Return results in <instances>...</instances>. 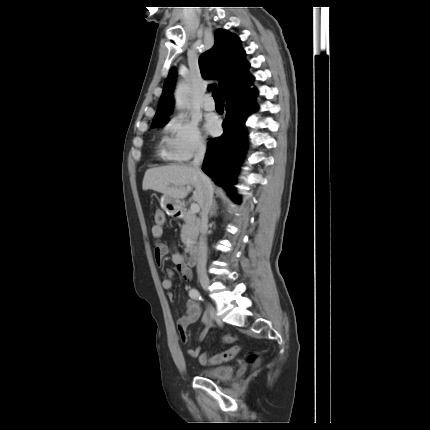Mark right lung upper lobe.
<instances>
[{"mask_svg": "<svg viewBox=\"0 0 430 430\" xmlns=\"http://www.w3.org/2000/svg\"><path fill=\"white\" fill-rule=\"evenodd\" d=\"M244 56L245 52L241 48L237 36L224 30H217L213 48L202 54L199 59L203 78L219 80V86L223 88L225 96L230 88H234L250 76L248 73L249 63L245 61ZM175 75L176 70L173 68L164 83L153 124L167 121L172 112L174 105L172 90L175 85ZM211 86H216V84Z\"/></svg>", "mask_w": 430, "mask_h": 430, "instance_id": "right-lung-upper-lobe-1", "label": "right lung upper lobe"}]
</instances>
